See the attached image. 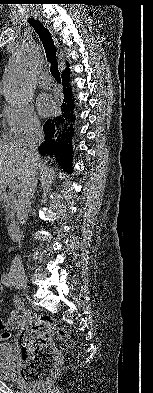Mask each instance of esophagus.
<instances>
[{
    "instance_id": "1",
    "label": "esophagus",
    "mask_w": 153,
    "mask_h": 393,
    "mask_svg": "<svg viewBox=\"0 0 153 393\" xmlns=\"http://www.w3.org/2000/svg\"><path fill=\"white\" fill-rule=\"evenodd\" d=\"M49 29H50V31H51V27H49ZM54 39H55V36H54Z\"/></svg>"
}]
</instances>
